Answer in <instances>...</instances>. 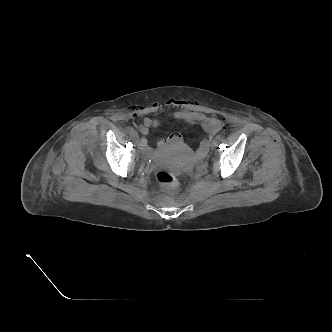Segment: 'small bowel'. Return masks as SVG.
<instances>
[{
  "instance_id": "1",
  "label": "small bowel",
  "mask_w": 332,
  "mask_h": 332,
  "mask_svg": "<svg viewBox=\"0 0 332 332\" xmlns=\"http://www.w3.org/2000/svg\"><path fill=\"white\" fill-rule=\"evenodd\" d=\"M165 107L174 109L171 117L175 120H179L188 124H198L207 134L208 138L204 139L199 146V152L201 154L206 153L209 148L211 139L219 132L223 127L224 121L215 117H209L205 113L194 111L188 108V103L181 100H168L163 103H154L149 105L146 110L148 112H156ZM160 121L158 119L146 117L143 123L140 125V131L145 136L140 141V146L147 150L148 140L146 136L149 134L151 128L158 127ZM182 137L179 134H172L168 139L159 142L160 147H164L170 143H180Z\"/></svg>"
}]
</instances>
